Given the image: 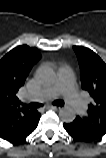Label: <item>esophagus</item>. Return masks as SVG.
I'll return each instance as SVG.
<instances>
[{
    "mask_svg": "<svg viewBox=\"0 0 106 158\" xmlns=\"http://www.w3.org/2000/svg\"><path fill=\"white\" fill-rule=\"evenodd\" d=\"M65 105V103H61V104H58V105H54V106H52L53 108H61L62 106H64Z\"/></svg>",
    "mask_w": 106,
    "mask_h": 158,
    "instance_id": "obj_1",
    "label": "esophagus"
}]
</instances>
